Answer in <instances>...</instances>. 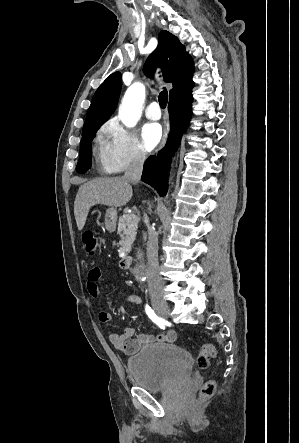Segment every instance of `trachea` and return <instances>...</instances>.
<instances>
[{"instance_id":"3493384b","label":"trachea","mask_w":299,"mask_h":443,"mask_svg":"<svg viewBox=\"0 0 299 443\" xmlns=\"http://www.w3.org/2000/svg\"><path fill=\"white\" fill-rule=\"evenodd\" d=\"M158 100H159L160 106L164 109L167 105V102H168V92L165 88L160 92V94L158 96Z\"/></svg>"}]
</instances>
